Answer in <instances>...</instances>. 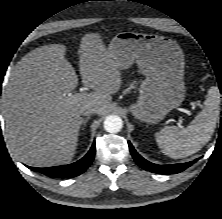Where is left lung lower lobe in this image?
Returning a JSON list of instances; mask_svg holds the SVG:
<instances>
[{
	"label": "left lung lower lobe",
	"instance_id": "obj_1",
	"mask_svg": "<svg viewBox=\"0 0 222 219\" xmlns=\"http://www.w3.org/2000/svg\"><path fill=\"white\" fill-rule=\"evenodd\" d=\"M128 144H129L130 152H131L132 157L134 158L135 162L141 168H143L147 171L153 172V173H157V174H176V173L182 172L198 160V159H196L194 161H190L187 163L172 164V165H157V164H153V163L147 161L142 156H140L136 152V150L134 149V147L132 146L130 141L128 142Z\"/></svg>",
	"mask_w": 222,
	"mask_h": 219
}]
</instances>
